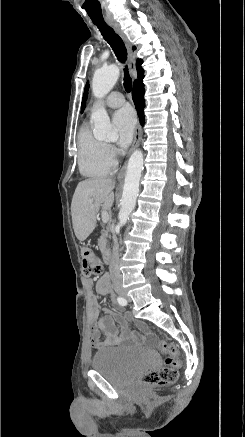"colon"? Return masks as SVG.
<instances>
[{
	"label": "colon",
	"mask_w": 245,
	"mask_h": 437,
	"mask_svg": "<svg viewBox=\"0 0 245 437\" xmlns=\"http://www.w3.org/2000/svg\"><path fill=\"white\" fill-rule=\"evenodd\" d=\"M82 270L85 276L100 275L103 264L100 258L89 248L82 250ZM161 352L168 354L166 366L149 371L140 378L144 386H165L176 381L182 361L177 347L166 341L159 344Z\"/></svg>",
	"instance_id": "colon-1"
}]
</instances>
